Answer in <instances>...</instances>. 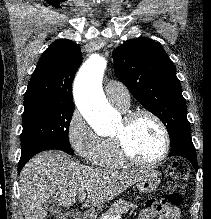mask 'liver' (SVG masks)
Returning <instances> with one entry per match:
<instances>
[{
    "label": "liver",
    "instance_id": "liver-1",
    "mask_svg": "<svg viewBox=\"0 0 211 219\" xmlns=\"http://www.w3.org/2000/svg\"><path fill=\"white\" fill-rule=\"evenodd\" d=\"M147 170L118 171L76 163L61 151H47L33 157L20 173L19 189L25 219H44L48 198L70 207L76 195L87 193L84 207L101 206L137 183Z\"/></svg>",
    "mask_w": 211,
    "mask_h": 219
}]
</instances>
